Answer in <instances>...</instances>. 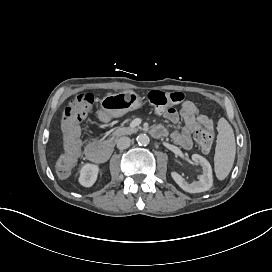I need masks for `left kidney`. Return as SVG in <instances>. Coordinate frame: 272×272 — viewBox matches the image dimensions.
Masks as SVG:
<instances>
[{"label":"left kidney","instance_id":"obj_1","mask_svg":"<svg viewBox=\"0 0 272 272\" xmlns=\"http://www.w3.org/2000/svg\"><path fill=\"white\" fill-rule=\"evenodd\" d=\"M192 160L202 167L203 174L199 176V181L189 184L177 172H171L172 178L184 191L189 193H199L209 190L213 184L212 168L210 163L199 154H193Z\"/></svg>","mask_w":272,"mask_h":272}]
</instances>
